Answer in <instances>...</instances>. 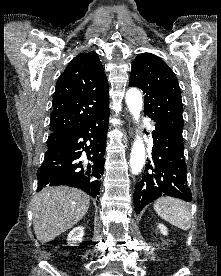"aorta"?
I'll use <instances>...</instances> for the list:
<instances>
[{
    "instance_id": "aorta-1",
    "label": "aorta",
    "mask_w": 221,
    "mask_h": 276,
    "mask_svg": "<svg viewBox=\"0 0 221 276\" xmlns=\"http://www.w3.org/2000/svg\"><path fill=\"white\" fill-rule=\"evenodd\" d=\"M126 103L130 113L133 115L135 121L138 122L140 117V112L142 111L143 101L142 95L139 90L131 88L126 93ZM145 162V146L143 144L142 138L140 136L136 137L133 143L131 156H130V166L131 172L134 175L140 173Z\"/></svg>"
}]
</instances>
